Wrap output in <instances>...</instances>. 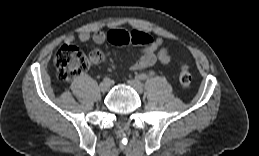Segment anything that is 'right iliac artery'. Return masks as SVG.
Segmentation results:
<instances>
[{
	"mask_svg": "<svg viewBox=\"0 0 259 156\" xmlns=\"http://www.w3.org/2000/svg\"><path fill=\"white\" fill-rule=\"evenodd\" d=\"M104 81H110V78L109 77H105Z\"/></svg>",
	"mask_w": 259,
	"mask_h": 156,
	"instance_id": "right-iliac-artery-1",
	"label": "right iliac artery"
}]
</instances>
